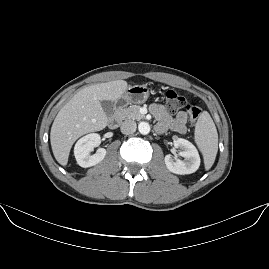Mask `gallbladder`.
<instances>
[{"label": "gallbladder", "instance_id": "obj_1", "mask_svg": "<svg viewBox=\"0 0 269 269\" xmlns=\"http://www.w3.org/2000/svg\"><path fill=\"white\" fill-rule=\"evenodd\" d=\"M102 109L104 110L106 116H112L114 113V103L111 101H101Z\"/></svg>", "mask_w": 269, "mask_h": 269}]
</instances>
